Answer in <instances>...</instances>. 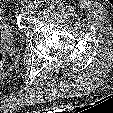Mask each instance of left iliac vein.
I'll list each match as a JSON object with an SVG mask.
<instances>
[{
  "instance_id": "4c4485c4",
  "label": "left iliac vein",
  "mask_w": 113,
  "mask_h": 113,
  "mask_svg": "<svg viewBox=\"0 0 113 113\" xmlns=\"http://www.w3.org/2000/svg\"><path fill=\"white\" fill-rule=\"evenodd\" d=\"M35 9H36L35 4H34V3H29V5H28V10H29L30 12H34Z\"/></svg>"
}]
</instances>
